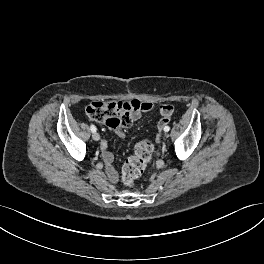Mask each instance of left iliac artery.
Here are the masks:
<instances>
[{"label": "left iliac artery", "mask_w": 264, "mask_h": 264, "mask_svg": "<svg viewBox=\"0 0 264 264\" xmlns=\"http://www.w3.org/2000/svg\"><path fill=\"white\" fill-rule=\"evenodd\" d=\"M169 130H170V127H169V126H165V127H164V131H165V132H168Z\"/></svg>", "instance_id": "left-iliac-artery-1"}]
</instances>
